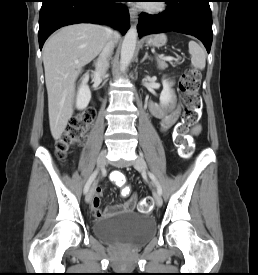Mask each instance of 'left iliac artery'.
I'll use <instances>...</instances> for the list:
<instances>
[{
    "label": "left iliac artery",
    "mask_w": 258,
    "mask_h": 275,
    "mask_svg": "<svg viewBox=\"0 0 258 275\" xmlns=\"http://www.w3.org/2000/svg\"><path fill=\"white\" fill-rule=\"evenodd\" d=\"M149 177L152 179V181L154 182V184L157 187V192L161 195L162 194V188L158 182V180L156 179V177L154 176V174L149 173Z\"/></svg>",
    "instance_id": "1"
}]
</instances>
